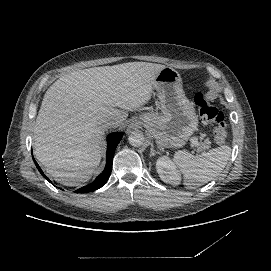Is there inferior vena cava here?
Instances as JSON below:
<instances>
[{
	"label": "inferior vena cava",
	"instance_id": "602c4592",
	"mask_svg": "<svg viewBox=\"0 0 271 271\" xmlns=\"http://www.w3.org/2000/svg\"><path fill=\"white\" fill-rule=\"evenodd\" d=\"M119 126V121L109 120L104 118L101 122V128L106 131L109 128H117Z\"/></svg>",
	"mask_w": 271,
	"mask_h": 271
}]
</instances>
